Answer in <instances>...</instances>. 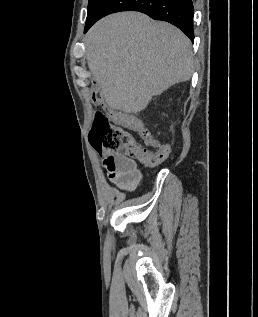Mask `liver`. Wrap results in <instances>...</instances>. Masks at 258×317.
I'll return each instance as SVG.
<instances>
[{
    "instance_id": "1",
    "label": "liver",
    "mask_w": 258,
    "mask_h": 317,
    "mask_svg": "<svg viewBox=\"0 0 258 317\" xmlns=\"http://www.w3.org/2000/svg\"><path fill=\"white\" fill-rule=\"evenodd\" d=\"M87 64L110 108L140 112L153 94L192 76V44L184 32L142 12H115L85 36Z\"/></svg>"
}]
</instances>
